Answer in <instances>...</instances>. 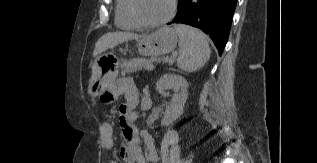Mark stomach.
I'll return each mask as SVG.
<instances>
[{"label":"stomach","instance_id":"1","mask_svg":"<svg viewBox=\"0 0 317 163\" xmlns=\"http://www.w3.org/2000/svg\"><path fill=\"white\" fill-rule=\"evenodd\" d=\"M178 34L171 27H162L137 41V50L142 56H158L172 52L177 45ZM98 57L93 65L88 93L93 98L101 96L117 74V66Z\"/></svg>","mask_w":317,"mask_h":163}]
</instances>
